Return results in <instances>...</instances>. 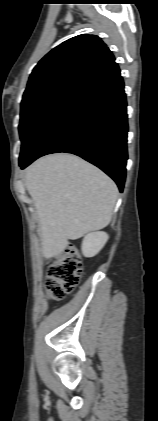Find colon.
Segmentation results:
<instances>
[{"label":"colon","instance_id":"1","mask_svg":"<svg viewBox=\"0 0 158 421\" xmlns=\"http://www.w3.org/2000/svg\"><path fill=\"white\" fill-rule=\"evenodd\" d=\"M81 274L79 253L69 246L50 263L45 282L49 298L55 301L63 299L77 287Z\"/></svg>","mask_w":158,"mask_h":421}]
</instances>
